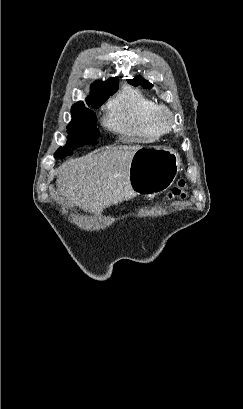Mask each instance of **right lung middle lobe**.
<instances>
[{
  "instance_id": "right-lung-middle-lobe-1",
  "label": "right lung middle lobe",
  "mask_w": 243,
  "mask_h": 409,
  "mask_svg": "<svg viewBox=\"0 0 243 409\" xmlns=\"http://www.w3.org/2000/svg\"><path fill=\"white\" fill-rule=\"evenodd\" d=\"M106 94L99 102L92 105L93 108L101 106L110 95ZM72 120L67 126V143L60 147L54 154L55 158H65L72 151L87 144L96 145L99 131L96 128L97 118L93 111L88 108L72 109Z\"/></svg>"
}]
</instances>
